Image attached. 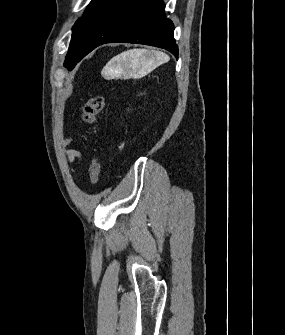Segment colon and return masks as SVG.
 <instances>
[{
    "instance_id": "1",
    "label": "colon",
    "mask_w": 285,
    "mask_h": 335,
    "mask_svg": "<svg viewBox=\"0 0 285 335\" xmlns=\"http://www.w3.org/2000/svg\"><path fill=\"white\" fill-rule=\"evenodd\" d=\"M104 106V97L100 94L88 98L82 108V119L84 123L92 128L97 120L98 115ZM90 178L94 185H98L100 180V165L98 156L93 149H91L90 159Z\"/></svg>"
}]
</instances>
